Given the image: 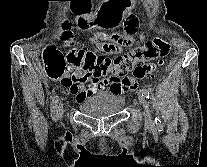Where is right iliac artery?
Instances as JSON below:
<instances>
[{
    "instance_id": "obj_1",
    "label": "right iliac artery",
    "mask_w": 207,
    "mask_h": 167,
    "mask_svg": "<svg viewBox=\"0 0 207 167\" xmlns=\"http://www.w3.org/2000/svg\"><path fill=\"white\" fill-rule=\"evenodd\" d=\"M51 116L54 121H57L59 118L58 113V96H55L51 103Z\"/></svg>"
}]
</instances>
